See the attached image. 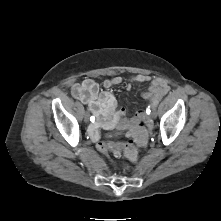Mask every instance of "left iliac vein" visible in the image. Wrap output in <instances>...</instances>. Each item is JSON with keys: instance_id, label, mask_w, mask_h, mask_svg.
Masks as SVG:
<instances>
[{"instance_id": "obj_1", "label": "left iliac vein", "mask_w": 221, "mask_h": 221, "mask_svg": "<svg viewBox=\"0 0 221 221\" xmlns=\"http://www.w3.org/2000/svg\"><path fill=\"white\" fill-rule=\"evenodd\" d=\"M151 116L152 118H156L157 114L155 108L153 109Z\"/></svg>"}]
</instances>
